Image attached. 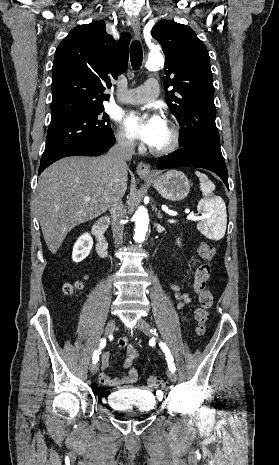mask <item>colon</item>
<instances>
[{
  "label": "colon",
  "mask_w": 279,
  "mask_h": 465,
  "mask_svg": "<svg viewBox=\"0 0 279 465\" xmlns=\"http://www.w3.org/2000/svg\"><path fill=\"white\" fill-rule=\"evenodd\" d=\"M198 254L202 262L195 271L193 289L198 296L199 303L195 311V319L197 322L196 331L199 335H203L206 331L205 323L209 317L208 310L213 304V296L207 288V282L211 276V262L215 256V247L208 241L201 242L198 246ZM80 287L81 283L76 282L73 284H66L63 289L66 294H71ZM163 383V379L159 376H149L146 379L147 386L153 389L161 387Z\"/></svg>",
  "instance_id": "obj_1"
}]
</instances>
